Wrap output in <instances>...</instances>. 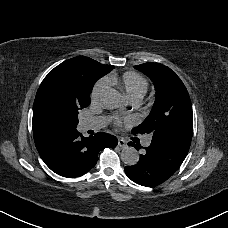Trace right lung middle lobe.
I'll use <instances>...</instances> for the list:
<instances>
[{"label":"right lung middle lobe","instance_id":"1","mask_svg":"<svg viewBox=\"0 0 228 228\" xmlns=\"http://www.w3.org/2000/svg\"><path fill=\"white\" fill-rule=\"evenodd\" d=\"M91 91L47 75L35 97L33 121L45 131L76 129L78 110L90 104Z\"/></svg>","mask_w":228,"mask_h":228}]
</instances>
